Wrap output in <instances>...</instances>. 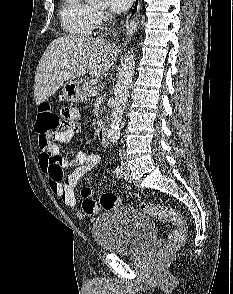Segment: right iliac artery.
Masks as SVG:
<instances>
[{"mask_svg":"<svg viewBox=\"0 0 233 294\" xmlns=\"http://www.w3.org/2000/svg\"><path fill=\"white\" fill-rule=\"evenodd\" d=\"M114 173L117 178H121L122 173H123L122 167H120V166L116 167V169L114 170Z\"/></svg>","mask_w":233,"mask_h":294,"instance_id":"obj_1","label":"right iliac artery"}]
</instances>
